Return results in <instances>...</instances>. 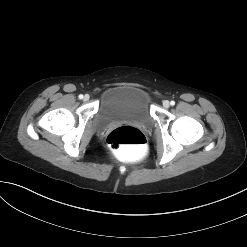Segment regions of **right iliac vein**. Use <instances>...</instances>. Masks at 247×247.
I'll use <instances>...</instances> for the list:
<instances>
[{"label":"right iliac vein","mask_w":247,"mask_h":247,"mask_svg":"<svg viewBox=\"0 0 247 247\" xmlns=\"http://www.w3.org/2000/svg\"><path fill=\"white\" fill-rule=\"evenodd\" d=\"M89 98H90V96H89L88 94H86V95L83 97V100H84V101H88Z\"/></svg>","instance_id":"63e3f726"}]
</instances>
